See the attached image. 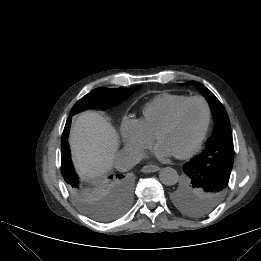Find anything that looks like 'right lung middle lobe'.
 <instances>
[{"instance_id":"dd1d6c3e","label":"right lung middle lobe","mask_w":261,"mask_h":261,"mask_svg":"<svg viewBox=\"0 0 261 261\" xmlns=\"http://www.w3.org/2000/svg\"><path fill=\"white\" fill-rule=\"evenodd\" d=\"M139 88L140 85L135 86L133 89L96 88L73 106L70 115H74L91 107L111 108L127 99ZM62 175L78 207L95 220H110L115 217L117 213H120L127 204L130 190L123 181L117 180L107 185L85 186L80 184L76 173L72 170H62ZM119 178L121 179L123 177ZM115 200L119 201V206L115 211H110L107 205L109 202Z\"/></svg>"}]
</instances>
